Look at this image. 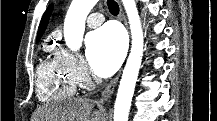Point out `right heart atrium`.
Segmentation results:
<instances>
[{"label":"right heart atrium","instance_id":"1","mask_svg":"<svg viewBox=\"0 0 217 121\" xmlns=\"http://www.w3.org/2000/svg\"><path fill=\"white\" fill-rule=\"evenodd\" d=\"M61 59L68 66L71 74L76 79L78 84L81 86H86L88 83H90L91 76L85 63L81 59L65 51L63 52Z\"/></svg>","mask_w":217,"mask_h":121}]
</instances>
